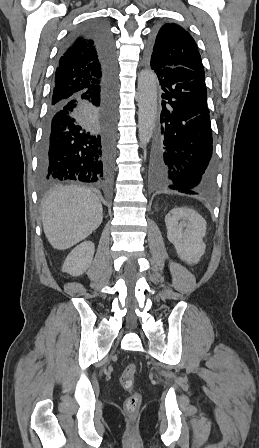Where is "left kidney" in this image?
Returning <instances> with one entry per match:
<instances>
[{"label":"left kidney","instance_id":"1","mask_svg":"<svg viewBox=\"0 0 259 448\" xmlns=\"http://www.w3.org/2000/svg\"><path fill=\"white\" fill-rule=\"evenodd\" d=\"M167 238L183 262L198 264L205 252L206 222L191 208H173L165 218ZM185 228V230H184Z\"/></svg>","mask_w":259,"mask_h":448}]
</instances>
